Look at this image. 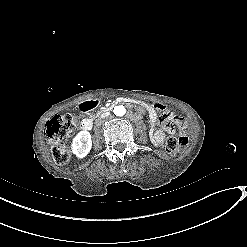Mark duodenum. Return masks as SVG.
I'll list each match as a JSON object with an SVG mask.
<instances>
[{"label": "duodenum", "mask_w": 247, "mask_h": 247, "mask_svg": "<svg viewBox=\"0 0 247 247\" xmlns=\"http://www.w3.org/2000/svg\"><path fill=\"white\" fill-rule=\"evenodd\" d=\"M139 103L138 101L131 99V98H126V97H120L117 98L107 109L106 111L112 110L116 105L119 104H137ZM98 102L96 100H89L81 103L79 105V110L81 112H88L93 110L97 106ZM93 126V121L90 118H86L82 121L81 123V129L85 131L91 130Z\"/></svg>", "instance_id": "duodenum-1"}]
</instances>
